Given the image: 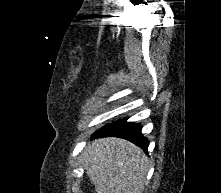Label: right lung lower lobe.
Masks as SVG:
<instances>
[{"label": "right lung lower lobe", "mask_w": 221, "mask_h": 193, "mask_svg": "<svg viewBox=\"0 0 221 193\" xmlns=\"http://www.w3.org/2000/svg\"><path fill=\"white\" fill-rule=\"evenodd\" d=\"M107 136L124 138L135 143L144 151H147L149 145L147 138H145L141 133V126L132 122H126V119L118 120L109 124L96 131L93 135V137Z\"/></svg>", "instance_id": "right-lung-lower-lobe-1"}]
</instances>
